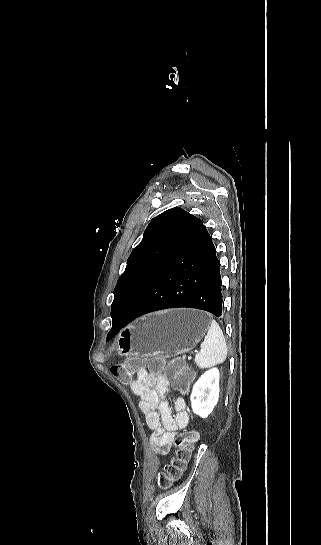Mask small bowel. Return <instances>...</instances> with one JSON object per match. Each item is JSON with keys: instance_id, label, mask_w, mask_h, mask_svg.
I'll use <instances>...</instances> for the list:
<instances>
[{"instance_id": "small-bowel-1", "label": "small bowel", "mask_w": 321, "mask_h": 545, "mask_svg": "<svg viewBox=\"0 0 321 545\" xmlns=\"http://www.w3.org/2000/svg\"><path fill=\"white\" fill-rule=\"evenodd\" d=\"M170 379L163 374H152L142 368L131 383L132 392L139 397V407L152 434L150 442L157 455L169 452L174 431L183 429L189 422L187 404L183 398L174 401V412L166 400Z\"/></svg>"}]
</instances>
